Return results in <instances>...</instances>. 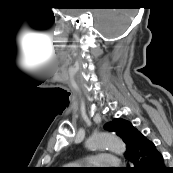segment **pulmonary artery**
I'll use <instances>...</instances> for the list:
<instances>
[{"label": "pulmonary artery", "mask_w": 173, "mask_h": 173, "mask_svg": "<svg viewBox=\"0 0 173 173\" xmlns=\"http://www.w3.org/2000/svg\"><path fill=\"white\" fill-rule=\"evenodd\" d=\"M73 164H85L89 166H96L99 168H111L120 165V160L112 154H102L91 156L82 162H75Z\"/></svg>", "instance_id": "e3ab8cb5"}]
</instances>
